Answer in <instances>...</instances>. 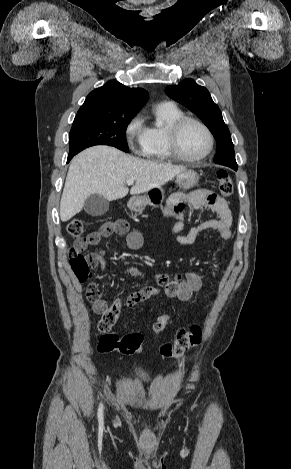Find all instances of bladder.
Returning a JSON list of instances; mask_svg holds the SVG:
<instances>
[{
  "mask_svg": "<svg viewBox=\"0 0 291 469\" xmlns=\"http://www.w3.org/2000/svg\"><path fill=\"white\" fill-rule=\"evenodd\" d=\"M133 377L134 379H137V380H147L148 379V375L146 372L144 371H135L134 374H133Z\"/></svg>",
  "mask_w": 291,
  "mask_h": 469,
  "instance_id": "31cf9c89",
  "label": "bladder"
}]
</instances>
